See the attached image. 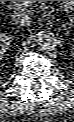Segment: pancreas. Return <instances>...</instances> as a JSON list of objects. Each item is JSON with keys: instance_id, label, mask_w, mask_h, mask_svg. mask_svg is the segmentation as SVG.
I'll list each match as a JSON object with an SVG mask.
<instances>
[{"instance_id": "1", "label": "pancreas", "mask_w": 74, "mask_h": 122, "mask_svg": "<svg viewBox=\"0 0 74 122\" xmlns=\"http://www.w3.org/2000/svg\"><path fill=\"white\" fill-rule=\"evenodd\" d=\"M35 1H15V3L19 6L21 9H28L30 8Z\"/></svg>"}]
</instances>
